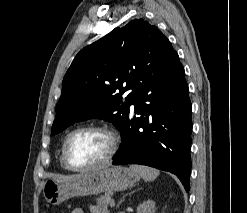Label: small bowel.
Returning <instances> with one entry per match:
<instances>
[{
    "instance_id": "small-bowel-1",
    "label": "small bowel",
    "mask_w": 247,
    "mask_h": 213,
    "mask_svg": "<svg viewBox=\"0 0 247 213\" xmlns=\"http://www.w3.org/2000/svg\"><path fill=\"white\" fill-rule=\"evenodd\" d=\"M71 213H84V212L80 208H74ZM90 213H101V211L97 207L92 206L90 209Z\"/></svg>"
}]
</instances>
